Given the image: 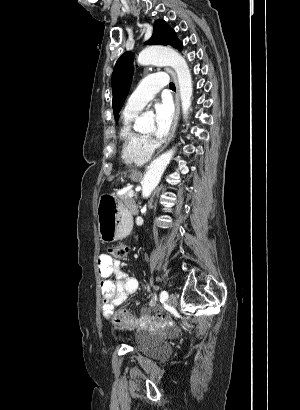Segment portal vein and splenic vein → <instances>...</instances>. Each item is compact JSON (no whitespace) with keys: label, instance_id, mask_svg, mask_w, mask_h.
<instances>
[{"label":"portal vein and splenic vein","instance_id":"1","mask_svg":"<svg viewBox=\"0 0 300 410\" xmlns=\"http://www.w3.org/2000/svg\"><path fill=\"white\" fill-rule=\"evenodd\" d=\"M128 196H129V197H133V196H134V191H133V190H129V191H128Z\"/></svg>","mask_w":300,"mask_h":410}]
</instances>
